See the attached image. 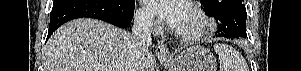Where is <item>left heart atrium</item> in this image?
<instances>
[{
  "instance_id": "obj_1",
  "label": "left heart atrium",
  "mask_w": 301,
  "mask_h": 71,
  "mask_svg": "<svg viewBox=\"0 0 301 71\" xmlns=\"http://www.w3.org/2000/svg\"><path fill=\"white\" fill-rule=\"evenodd\" d=\"M146 9L178 30L187 9L182 0H144Z\"/></svg>"
}]
</instances>
